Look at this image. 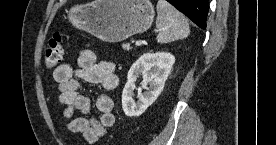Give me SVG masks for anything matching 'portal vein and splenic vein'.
Masks as SVG:
<instances>
[{"label":"portal vein and splenic vein","instance_id":"obj_1","mask_svg":"<svg viewBox=\"0 0 276 145\" xmlns=\"http://www.w3.org/2000/svg\"><path fill=\"white\" fill-rule=\"evenodd\" d=\"M135 45H136V46H141V45H142V42L138 40V41L135 42Z\"/></svg>","mask_w":276,"mask_h":145}]
</instances>
